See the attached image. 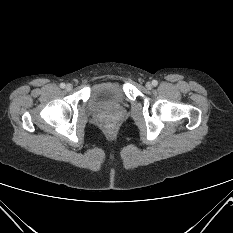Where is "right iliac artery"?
Wrapping results in <instances>:
<instances>
[{
  "mask_svg": "<svg viewBox=\"0 0 233 233\" xmlns=\"http://www.w3.org/2000/svg\"><path fill=\"white\" fill-rule=\"evenodd\" d=\"M60 87L63 89V88H65V84L64 83H61L60 84Z\"/></svg>",
  "mask_w": 233,
  "mask_h": 233,
  "instance_id": "82829eb1",
  "label": "right iliac artery"
}]
</instances>
